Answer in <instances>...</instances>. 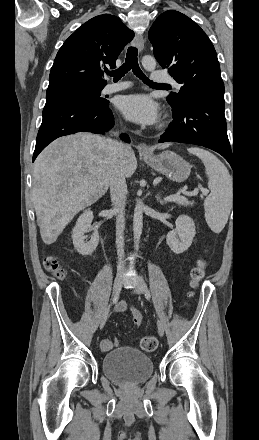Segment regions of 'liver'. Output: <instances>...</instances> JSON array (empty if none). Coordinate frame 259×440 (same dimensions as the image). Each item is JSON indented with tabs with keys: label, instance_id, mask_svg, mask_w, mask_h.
Masks as SVG:
<instances>
[{
	"label": "liver",
	"instance_id": "1",
	"mask_svg": "<svg viewBox=\"0 0 259 440\" xmlns=\"http://www.w3.org/2000/svg\"><path fill=\"white\" fill-rule=\"evenodd\" d=\"M111 142L92 133H76L56 139L35 160L32 200L46 245L57 240L78 212L107 192L114 157ZM169 145L157 148L165 149ZM136 168L135 153L126 145L125 177H131Z\"/></svg>",
	"mask_w": 259,
	"mask_h": 440
}]
</instances>
